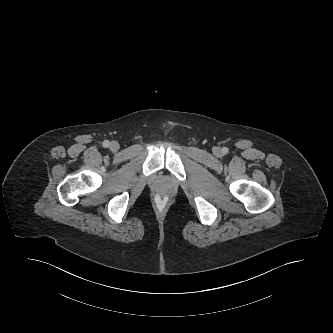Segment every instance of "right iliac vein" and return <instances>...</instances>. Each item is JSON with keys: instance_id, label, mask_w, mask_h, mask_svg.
<instances>
[{"instance_id": "right-iliac-vein-1", "label": "right iliac vein", "mask_w": 333, "mask_h": 333, "mask_svg": "<svg viewBox=\"0 0 333 333\" xmlns=\"http://www.w3.org/2000/svg\"><path fill=\"white\" fill-rule=\"evenodd\" d=\"M110 149H111V151H113V152L118 151V149H119V143H118L117 141H112V142L110 143Z\"/></svg>"}]
</instances>
